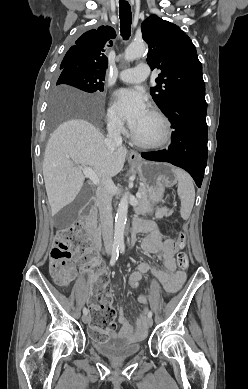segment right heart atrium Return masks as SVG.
Returning <instances> with one entry per match:
<instances>
[{"mask_svg":"<svg viewBox=\"0 0 248 389\" xmlns=\"http://www.w3.org/2000/svg\"><path fill=\"white\" fill-rule=\"evenodd\" d=\"M106 120L110 129L114 131L123 130V119L120 115V112L113 104L108 107Z\"/></svg>","mask_w":248,"mask_h":389,"instance_id":"obj_1","label":"right heart atrium"}]
</instances>
